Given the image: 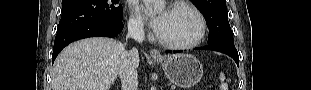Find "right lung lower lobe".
I'll return each instance as SVG.
<instances>
[{"label": "right lung lower lobe", "instance_id": "right-lung-lower-lobe-1", "mask_svg": "<svg viewBox=\"0 0 311 90\" xmlns=\"http://www.w3.org/2000/svg\"><path fill=\"white\" fill-rule=\"evenodd\" d=\"M123 29V23H84L73 26L71 28L57 32L54 42L52 62L59 54V52L69 43L95 36L115 37Z\"/></svg>", "mask_w": 311, "mask_h": 90}]
</instances>
